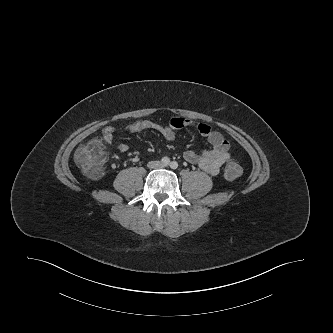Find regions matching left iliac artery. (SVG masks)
<instances>
[{"instance_id": "left-iliac-artery-1", "label": "left iliac artery", "mask_w": 333, "mask_h": 333, "mask_svg": "<svg viewBox=\"0 0 333 333\" xmlns=\"http://www.w3.org/2000/svg\"><path fill=\"white\" fill-rule=\"evenodd\" d=\"M170 167L172 169H177L178 168V163L176 161H173V162L170 163Z\"/></svg>"}]
</instances>
